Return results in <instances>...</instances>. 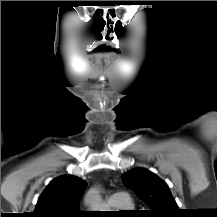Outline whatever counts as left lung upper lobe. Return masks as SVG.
Masks as SVG:
<instances>
[{
    "mask_svg": "<svg viewBox=\"0 0 217 217\" xmlns=\"http://www.w3.org/2000/svg\"><path fill=\"white\" fill-rule=\"evenodd\" d=\"M122 180L151 208V217L178 216L179 208L168 185L154 173L136 168L124 173Z\"/></svg>",
    "mask_w": 217,
    "mask_h": 217,
    "instance_id": "obj_1",
    "label": "left lung upper lobe"
}]
</instances>
